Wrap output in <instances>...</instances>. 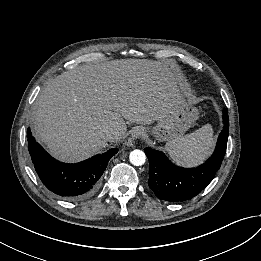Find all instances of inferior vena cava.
Listing matches in <instances>:
<instances>
[{
  "label": "inferior vena cava",
  "mask_w": 261,
  "mask_h": 261,
  "mask_svg": "<svg viewBox=\"0 0 261 261\" xmlns=\"http://www.w3.org/2000/svg\"><path fill=\"white\" fill-rule=\"evenodd\" d=\"M106 139L108 141H114L117 140L120 137L119 131L113 129V128H107L104 130Z\"/></svg>",
  "instance_id": "obj_1"
}]
</instances>
